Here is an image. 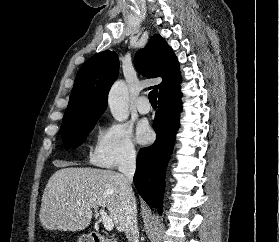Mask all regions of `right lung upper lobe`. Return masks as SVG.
<instances>
[{
	"label": "right lung upper lobe",
	"mask_w": 279,
	"mask_h": 242,
	"mask_svg": "<svg viewBox=\"0 0 279 242\" xmlns=\"http://www.w3.org/2000/svg\"><path fill=\"white\" fill-rule=\"evenodd\" d=\"M134 62L142 75L148 78L162 77L163 81L154 86L159 89V98L179 89V64L160 35L151 37L146 47L136 53ZM118 72L119 61L113 51H103L89 58L76 76L62 125L99 117L106 110L108 92Z\"/></svg>",
	"instance_id": "1"
}]
</instances>
